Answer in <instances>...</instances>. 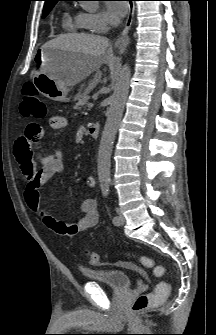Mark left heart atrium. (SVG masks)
I'll return each mask as SVG.
<instances>
[{"label":"left heart atrium","instance_id":"39dd6f15","mask_svg":"<svg viewBox=\"0 0 216 335\" xmlns=\"http://www.w3.org/2000/svg\"><path fill=\"white\" fill-rule=\"evenodd\" d=\"M107 9L113 21H118L128 12V6L123 1H111L107 4Z\"/></svg>","mask_w":216,"mask_h":335}]
</instances>
